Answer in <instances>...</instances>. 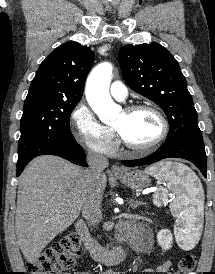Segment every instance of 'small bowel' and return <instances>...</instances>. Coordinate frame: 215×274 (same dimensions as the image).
I'll return each instance as SVG.
<instances>
[{
  "mask_svg": "<svg viewBox=\"0 0 215 274\" xmlns=\"http://www.w3.org/2000/svg\"><path fill=\"white\" fill-rule=\"evenodd\" d=\"M145 273H152V272H156V273H164V274H177L176 272L172 271V263L170 260H166L163 263H161L160 265H158L156 268L154 269H145L144 270ZM64 274H89L87 272H76V273H64ZM102 274H123L121 272H116V271H105Z\"/></svg>",
  "mask_w": 215,
  "mask_h": 274,
  "instance_id": "1",
  "label": "small bowel"
}]
</instances>
